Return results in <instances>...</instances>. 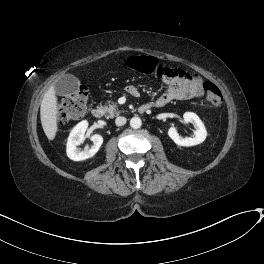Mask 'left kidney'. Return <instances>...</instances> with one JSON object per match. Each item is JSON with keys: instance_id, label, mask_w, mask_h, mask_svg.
Segmentation results:
<instances>
[{"instance_id": "5707ae66", "label": "left kidney", "mask_w": 264, "mask_h": 264, "mask_svg": "<svg viewBox=\"0 0 264 264\" xmlns=\"http://www.w3.org/2000/svg\"><path fill=\"white\" fill-rule=\"evenodd\" d=\"M185 123H192L194 128V135L192 137L183 138L177 132L176 127L172 126L168 130L169 137L179 146H194L202 143L207 136L206 128L200 118L193 112H186L183 115Z\"/></svg>"}]
</instances>
